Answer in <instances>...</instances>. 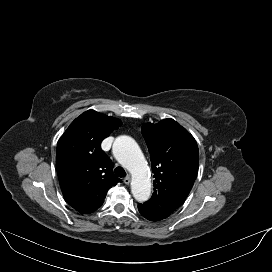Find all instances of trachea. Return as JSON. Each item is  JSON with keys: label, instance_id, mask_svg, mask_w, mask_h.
Listing matches in <instances>:
<instances>
[{"label": "trachea", "instance_id": "trachea-1", "mask_svg": "<svg viewBox=\"0 0 272 272\" xmlns=\"http://www.w3.org/2000/svg\"><path fill=\"white\" fill-rule=\"evenodd\" d=\"M114 172L118 177H125L126 176V172L122 167H116Z\"/></svg>", "mask_w": 272, "mask_h": 272}]
</instances>
